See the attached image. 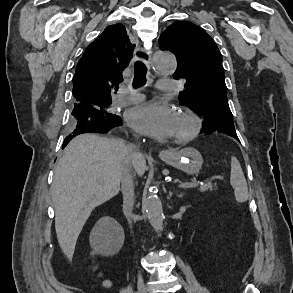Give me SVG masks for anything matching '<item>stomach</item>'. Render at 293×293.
<instances>
[{"label":"stomach","mask_w":293,"mask_h":293,"mask_svg":"<svg viewBox=\"0 0 293 293\" xmlns=\"http://www.w3.org/2000/svg\"><path fill=\"white\" fill-rule=\"evenodd\" d=\"M162 159L170 166L189 175L198 174L203 164L200 152L193 147L172 152L168 157H163Z\"/></svg>","instance_id":"0dacf381"}]
</instances>
